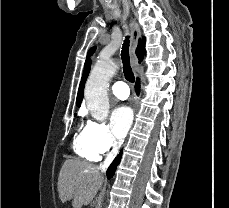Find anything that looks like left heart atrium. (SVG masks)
<instances>
[{"label": "left heart atrium", "mask_w": 229, "mask_h": 208, "mask_svg": "<svg viewBox=\"0 0 229 208\" xmlns=\"http://www.w3.org/2000/svg\"><path fill=\"white\" fill-rule=\"evenodd\" d=\"M133 123V111L127 105L117 107L111 114V127L117 138L126 136Z\"/></svg>", "instance_id": "1"}]
</instances>
